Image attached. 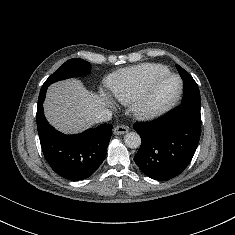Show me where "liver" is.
<instances>
[{"mask_svg": "<svg viewBox=\"0 0 235 235\" xmlns=\"http://www.w3.org/2000/svg\"><path fill=\"white\" fill-rule=\"evenodd\" d=\"M105 100L88 91L76 79L52 84L46 94L44 112L48 122L65 134L78 133L96 122Z\"/></svg>", "mask_w": 235, "mask_h": 235, "instance_id": "1", "label": "liver"}]
</instances>
